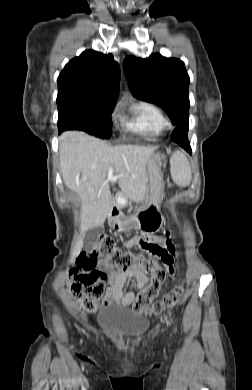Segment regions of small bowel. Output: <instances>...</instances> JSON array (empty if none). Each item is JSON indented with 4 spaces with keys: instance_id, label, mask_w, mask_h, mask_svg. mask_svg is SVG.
Returning a JSON list of instances; mask_svg holds the SVG:
<instances>
[{
    "instance_id": "1",
    "label": "small bowel",
    "mask_w": 252,
    "mask_h": 390,
    "mask_svg": "<svg viewBox=\"0 0 252 390\" xmlns=\"http://www.w3.org/2000/svg\"><path fill=\"white\" fill-rule=\"evenodd\" d=\"M141 235L132 238L127 242L128 248L140 247ZM150 242L156 246L151 250V253L155 254L163 261V256L169 255L174 261L176 255V247L171 239L169 233H165L163 236L151 235L149 236ZM99 268L108 274L107 291L103 299L105 307L116 305L118 308L130 307L135 300V293L133 291L125 292V288L132 283L136 289L141 290L148 283L147 275L139 270H129L126 272H117L109 269L103 262L98 263Z\"/></svg>"
}]
</instances>
